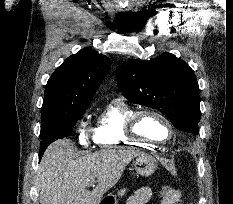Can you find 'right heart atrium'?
<instances>
[{"instance_id":"obj_1","label":"right heart atrium","mask_w":233,"mask_h":204,"mask_svg":"<svg viewBox=\"0 0 233 204\" xmlns=\"http://www.w3.org/2000/svg\"><path fill=\"white\" fill-rule=\"evenodd\" d=\"M77 135L79 142L84 146L89 145L91 139L94 140L93 132L87 127L86 122L84 121L80 122Z\"/></svg>"}]
</instances>
